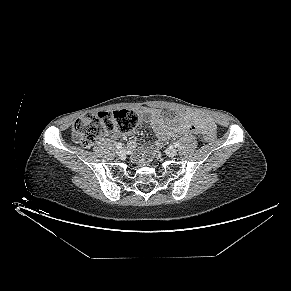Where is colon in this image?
I'll return each mask as SVG.
<instances>
[{
  "instance_id": "colon-1",
  "label": "colon",
  "mask_w": 291,
  "mask_h": 291,
  "mask_svg": "<svg viewBox=\"0 0 291 291\" xmlns=\"http://www.w3.org/2000/svg\"><path fill=\"white\" fill-rule=\"evenodd\" d=\"M139 116L135 111L121 109L115 111L85 114L78 118L72 128L73 137L84 147L93 146L102 136L112 131L130 132L138 125ZM206 141L216 139L215 128L203 133Z\"/></svg>"
}]
</instances>
